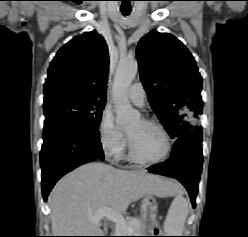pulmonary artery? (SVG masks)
Wrapping results in <instances>:
<instances>
[{"mask_svg":"<svg viewBox=\"0 0 248 237\" xmlns=\"http://www.w3.org/2000/svg\"><path fill=\"white\" fill-rule=\"evenodd\" d=\"M128 98L136 105L143 106L146 99V93L140 82L133 83L127 91Z\"/></svg>","mask_w":248,"mask_h":237,"instance_id":"obj_1","label":"pulmonary artery"}]
</instances>
